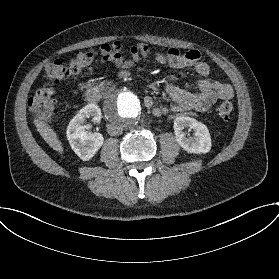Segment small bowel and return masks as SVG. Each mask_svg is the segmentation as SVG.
<instances>
[{
    "mask_svg": "<svg viewBox=\"0 0 279 279\" xmlns=\"http://www.w3.org/2000/svg\"><path fill=\"white\" fill-rule=\"evenodd\" d=\"M100 56L101 65L109 64L122 70L132 69L141 59H152L159 64L180 70L193 67L201 77L191 83V87L196 92H190L172 83H166L167 105L158 106L152 97H145V107L157 118L163 117L168 113H179L187 110L204 112L217 99H230L233 96V89L230 84L220 79L209 78L212 74L211 68L201 60V54L197 50L181 52L172 48L167 51L152 53L148 45L136 44L129 49V56H126L121 43L114 41L101 46Z\"/></svg>",
    "mask_w": 279,
    "mask_h": 279,
    "instance_id": "small-bowel-1",
    "label": "small bowel"
}]
</instances>
